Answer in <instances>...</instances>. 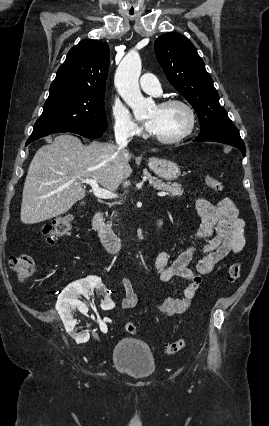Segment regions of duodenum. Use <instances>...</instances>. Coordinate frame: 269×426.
Wrapping results in <instances>:
<instances>
[{"instance_id": "obj_1", "label": "duodenum", "mask_w": 269, "mask_h": 426, "mask_svg": "<svg viewBox=\"0 0 269 426\" xmlns=\"http://www.w3.org/2000/svg\"><path fill=\"white\" fill-rule=\"evenodd\" d=\"M164 225V220L161 216H158L152 225V234H159ZM93 230L97 233L101 243L105 247L108 253L115 255L120 253L123 247L122 238L116 234L113 230L108 228L103 220V216L100 211H96L92 218Z\"/></svg>"}]
</instances>
